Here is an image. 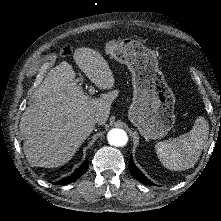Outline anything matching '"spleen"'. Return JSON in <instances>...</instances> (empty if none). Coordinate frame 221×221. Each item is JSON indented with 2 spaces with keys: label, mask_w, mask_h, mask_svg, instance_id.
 <instances>
[{
  "label": "spleen",
  "mask_w": 221,
  "mask_h": 221,
  "mask_svg": "<svg viewBox=\"0 0 221 221\" xmlns=\"http://www.w3.org/2000/svg\"><path fill=\"white\" fill-rule=\"evenodd\" d=\"M208 135V121L198 117L188 133L156 144L158 158L170 170L185 171L193 168L206 145Z\"/></svg>",
  "instance_id": "3e777b00"
}]
</instances>
